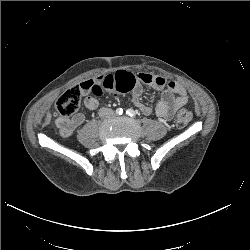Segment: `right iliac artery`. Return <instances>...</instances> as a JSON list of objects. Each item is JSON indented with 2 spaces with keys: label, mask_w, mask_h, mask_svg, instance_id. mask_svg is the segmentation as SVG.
<instances>
[{
  "label": "right iliac artery",
  "mask_w": 250,
  "mask_h": 250,
  "mask_svg": "<svg viewBox=\"0 0 250 250\" xmlns=\"http://www.w3.org/2000/svg\"><path fill=\"white\" fill-rule=\"evenodd\" d=\"M122 113H123V109L122 108H117L116 109V114L117 115H122Z\"/></svg>",
  "instance_id": "obj_1"
}]
</instances>
